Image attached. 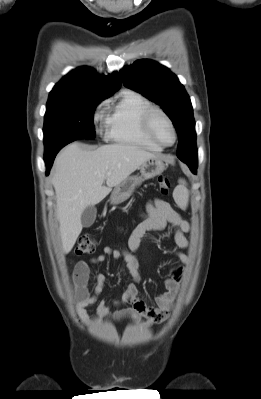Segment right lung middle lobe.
I'll use <instances>...</instances> for the list:
<instances>
[{
  "instance_id": "1",
  "label": "right lung middle lobe",
  "mask_w": 261,
  "mask_h": 399,
  "mask_svg": "<svg viewBox=\"0 0 261 399\" xmlns=\"http://www.w3.org/2000/svg\"><path fill=\"white\" fill-rule=\"evenodd\" d=\"M105 98H49L44 117L45 147L77 139H94L93 113Z\"/></svg>"
}]
</instances>
